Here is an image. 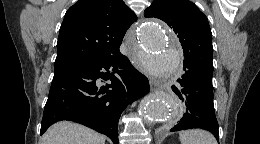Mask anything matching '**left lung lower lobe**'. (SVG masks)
Listing matches in <instances>:
<instances>
[{"label": "left lung lower lobe", "instance_id": "1", "mask_svg": "<svg viewBox=\"0 0 260 144\" xmlns=\"http://www.w3.org/2000/svg\"><path fill=\"white\" fill-rule=\"evenodd\" d=\"M185 73L173 88L179 101L180 120L170 131L202 128L212 132L219 141L218 122L213 104V71L197 64L184 62Z\"/></svg>", "mask_w": 260, "mask_h": 144}]
</instances>
